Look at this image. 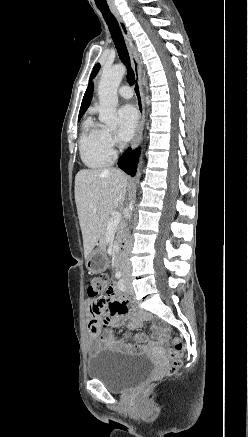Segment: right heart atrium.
<instances>
[{"label":"right heart atrium","mask_w":248,"mask_h":437,"mask_svg":"<svg viewBox=\"0 0 248 437\" xmlns=\"http://www.w3.org/2000/svg\"><path fill=\"white\" fill-rule=\"evenodd\" d=\"M104 142L108 151L113 154L117 145V139L115 135L108 130H104Z\"/></svg>","instance_id":"1"}]
</instances>
